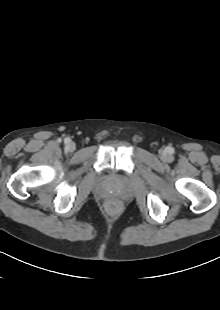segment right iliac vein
I'll use <instances>...</instances> for the list:
<instances>
[{"label":"right iliac vein","instance_id":"right-iliac-vein-1","mask_svg":"<svg viewBox=\"0 0 220 310\" xmlns=\"http://www.w3.org/2000/svg\"><path fill=\"white\" fill-rule=\"evenodd\" d=\"M75 148H76V146H75V143L74 142H69L68 144H67V150H69V151H74L75 150Z\"/></svg>","mask_w":220,"mask_h":310}]
</instances>
